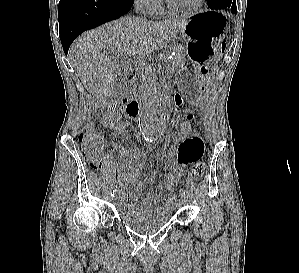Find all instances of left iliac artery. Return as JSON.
Instances as JSON below:
<instances>
[{"instance_id":"left-iliac-artery-1","label":"left iliac artery","mask_w":299,"mask_h":273,"mask_svg":"<svg viewBox=\"0 0 299 273\" xmlns=\"http://www.w3.org/2000/svg\"><path fill=\"white\" fill-rule=\"evenodd\" d=\"M180 195L185 197L186 193L183 189H180Z\"/></svg>"}]
</instances>
